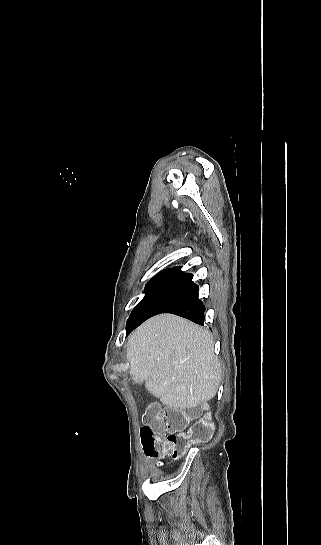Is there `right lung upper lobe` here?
<instances>
[{
    "mask_svg": "<svg viewBox=\"0 0 321 545\" xmlns=\"http://www.w3.org/2000/svg\"><path fill=\"white\" fill-rule=\"evenodd\" d=\"M180 268H181V267H175V268H174V269H172V270H175V269H176V270H178V269H180Z\"/></svg>",
    "mask_w": 321,
    "mask_h": 545,
    "instance_id": "1",
    "label": "right lung upper lobe"
}]
</instances>
